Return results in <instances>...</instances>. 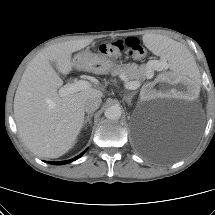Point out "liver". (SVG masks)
<instances>
[{
    "label": "liver",
    "instance_id": "6515ba94",
    "mask_svg": "<svg viewBox=\"0 0 215 215\" xmlns=\"http://www.w3.org/2000/svg\"><path fill=\"white\" fill-rule=\"evenodd\" d=\"M92 38L70 40L41 50L25 69L14 97V118L24 145L41 158H58L74 145L84 122V103L101 98L95 87L61 96L62 74L77 67L72 53L92 43Z\"/></svg>",
    "mask_w": 215,
    "mask_h": 215
}]
</instances>
